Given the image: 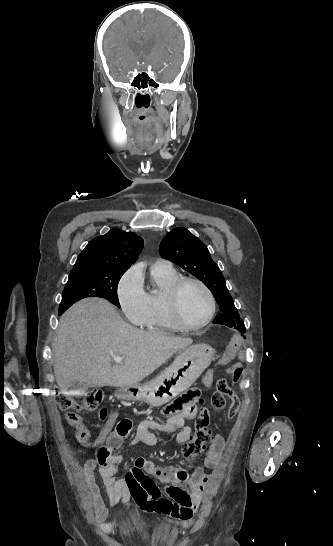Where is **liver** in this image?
Instances as JSON below:
<instances>
[{
  "instance_id": "1",
  "label": "liver",
  "mask_w": 333,
  "mask_h": 546,
  "mask_svg": "<svg viewBox=\"0 0 333 546\" xmlns=\"http://www.w3.org/2000/svg\"><path fill=\"white\" fill-rule=\"evenodd\" d=\"M191 338L141 331L124 322L104 299L87 298L60 318L54 339V374L63 391L80 384L88 388L137 384ZM114 355L124 357L112 364Z\"/></svg>"
}]
</instances>
